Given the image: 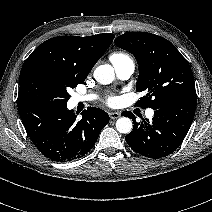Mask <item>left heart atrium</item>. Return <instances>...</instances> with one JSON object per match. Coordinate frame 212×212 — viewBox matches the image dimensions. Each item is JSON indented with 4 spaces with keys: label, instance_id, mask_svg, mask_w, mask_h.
<instances>
[{
    "label": "left heart atrium",
    "instance_id": "obj_1",
    "mask_svg": "<svg viewBox=\"0 0 212 212\" xmlns=\"http://www.w3.org/2000/svg\"><path fill=\"white\" fill-rule=\"evenodd\" d=\"M107 102H108V104H113L114 103V98L113 97H109Z\"/></svg>",
    "mask_w": 212,
    "mask_h": 212
}]
</instances>
